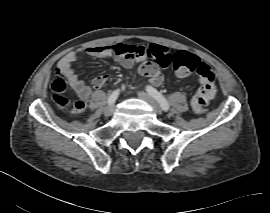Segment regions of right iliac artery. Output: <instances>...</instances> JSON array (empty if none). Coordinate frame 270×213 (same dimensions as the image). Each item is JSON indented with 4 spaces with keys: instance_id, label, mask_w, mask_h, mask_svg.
<instances>
[{
    "instance_id": "right-iliac-artery-1",
    "label": "right iliac artery",
    "mask_w": 270,
    "mask_h": 213,
    "mask_svg": "<svg viewBox=\"0 0 270 213\" xmlns=\"http://www.w3.org/2000/svg\"><path fill=\"white\" fill-rule=\"evenodd\" d=\"M119 92H120L119 89H117V90H115L114 92H112V94H111V95L109 96V98H108V104H109V105L114 104V102H115L116 99L118 98Z\"/></svg>"
}]
</instances>
